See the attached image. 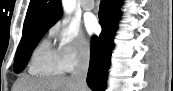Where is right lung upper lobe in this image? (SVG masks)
<instances>
[{
  "label": "right lung upper lobe",
  "mask_w": 173,
  "mask_h": 91,
  "mask_svg": "<svg viewBox=\"0 0 173 91\" xmlns=\"http://www.w3.org/2000/svg\"><path fill=\"white\" fill-rule=\"evenodd\" d=\"M61 14L60 0H30L23 32L44 24L52 26L60 18Z\"/></svg>",
  "instance_id": "obj_1"
}]
</instances>
